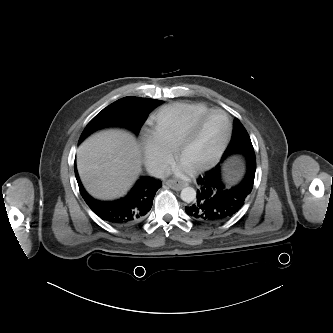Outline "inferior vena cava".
<instances>
[{
  "label": "inferior vena cava",
  "instance_id": "obj_1",
  "mask_svg": "<svg viewBox=\"0 0 333 333\" xmlns=\"http://www.w3.org/2000/svg\"><path fill=\"white\" fill-rule=\"evenodd\" d=\"M149 174L156 178L164 179L167 176H169L170 169L167 166H163V165L152 166L149 169Z\"/></svg>",
  "mask_w": 333,
  "mask_h": 333
}]
</instances>
